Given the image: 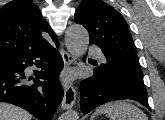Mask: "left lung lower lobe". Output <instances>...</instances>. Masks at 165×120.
<instances>
[{
    "label": "left lung lower lobe",
    "mask_w": 165,
    "mask_h": 120,
    "mask_svg": "<svg viewBox=\"0 0 165 120\" xmlns=\"http://www.w3.org/2000/svg\"><path fill=\"white\" fill-rule=\"evenodd\" d=\"M105 62L95 66L94 74L81 82L80 105L83 114H87L94 108L104 103L131 99L148 109L147 90L143 82L124 76L111 60L105 56Z\"/></svg>",
    "instance_id": "obj_1"
}]
</instances>
